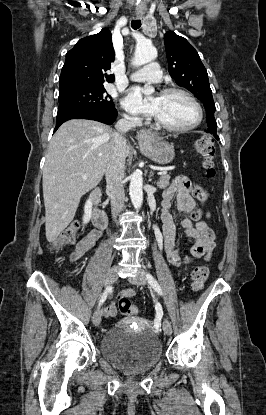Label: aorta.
<instances>
[{"instance_id":"aorta-1","label":"aorta","mask_w":266,"mask_h":415,"mask_svg":"<svg viewBox=\"0 0 266 415\" xmlns=\"http://www.w3.org/2000/svg\"><path fill=\"white\" fill-rule=\"evenodd\" d=\"M157 57V51L150 43L138 44L134 53L133 65L138 67L144 65ZM154 89L145 90L147 95L151 94ZM143 178L140 171H135L130 176L129 193L131 202L135 209H139L143 203Z\"/></svg>"}]
</instances>
